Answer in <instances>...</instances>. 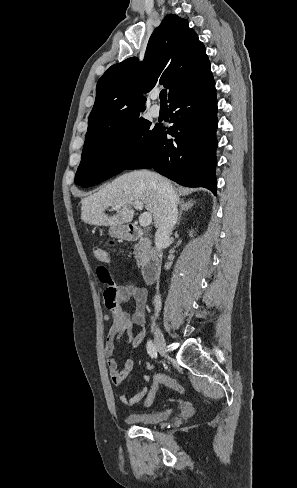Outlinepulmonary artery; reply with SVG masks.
Listing matches in <instances>:
<instances>
[{
	"label": "pulmonary artery",
	"mask_w": 297,
	"mask_h": 488,
	"mask_svg": "<svg viewBox=\"0 0 297 488\" xmlns=\"http://www.w3.org/2000/svg\"><path fill=\"white\" fill-rule=\"evenodd\" d=\"M153 98H156V95L153 96ZM150 113L154 117H158L160 115V107L157 105L152 106Z\"/></svg>",
	"instance_id": "1"
}]
</instances>
